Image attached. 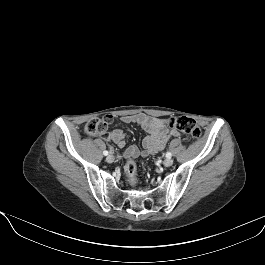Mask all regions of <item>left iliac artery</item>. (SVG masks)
<instances>
[{
	"instance_id": "obj_1",
	"label": "left iliac artery",
	"mask_w": 265,
	"mask_h": 265,
	"mask_svg": "<svg viewBox=\"0 0 265 265\" xmlns=\"http://www.w3.org/2000/svg\"><path fill=\"white\" fill-rule=\"evenodd\" d=\"M171 156H172V154H171L170 152H167V153H166V157H167V158H171Z\"/></svg>"
}]
</instances>
